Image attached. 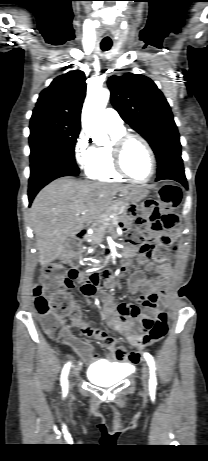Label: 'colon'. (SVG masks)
I'll return each mask as SVG.
<instances>
[{
  "label": "colon",
  "mask_w": 208,
  "mask_h": 461,
  "mask_svg": "<svg viewBox=\"0 0 208 461\" xmlns=\"http://www.w3.org/2000/svg\"><path fill=\"white\" fill-rule=\"evenodd\" d=\"M182 191L179 187L166 184L159 191V199L146 200L142 207V214L137 217L140 227L151 228L153 235L158 239L157 244L146 239L141 231L130 235V243L137 245L140 251H154V258H164L165 249L159 247L161 229H172L179 223V216L175 212L181 204ZM82 277H89L75 268L66 269L61 263H51L43 267L40 281L35 285L33 296L35 307L42 319L46 333L54 339L67 338L59 324L60 317L79 315V307L74 296L69 292L75 283H80ZM145 333L140 340H129L128 345L134 354H139L141 348H146L159 340L167 333L169 325L165 313L156 318L146 317Z\"/></svg>",
  "instance_id": "colon-1"
}]
</instances>
